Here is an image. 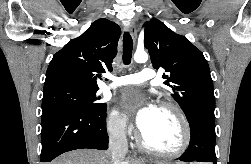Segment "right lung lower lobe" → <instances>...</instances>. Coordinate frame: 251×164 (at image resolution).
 I'll use <instances>...</instances> for the list:
<instances>
[{
	"instance_id": "obj_1",
	"label": "right lung lower lobe",
	"mask_w": 251,
	"mask_h": 164,
	"mask_svg": "<svg viewBox=\"0 0 251 164\" xmlns=\"http://www.w3.org/2000/svg\"><path fill=\"white\" fill-rule=\"evenodd\" d=\"M41 125V162L71 150L108 148L106 108L98 112L50 108L43 111Z\"/></svg>"
}]
</instances>
